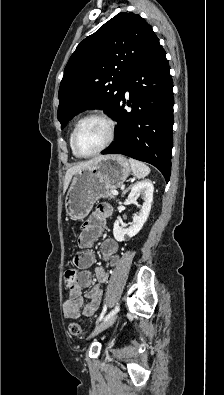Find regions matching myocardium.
I'll return each instance as SVG.
<instances>
[{
	"mask_svg": "<svg viewBox=\"0 0 224 395\" xmlns=\"http://www.w3.org/2000/svg\"><path fill=\"white\" fill-rule=\"evenodd\" d=\"M89 119H99V120L103 121L108 127V137H107L106 141L103 143V145L100 146L96 151L89 153V154H82L78 150V147H77V135H78L81 125ZM115 133H116V123L108 114H106L102 111L90 112V113L84 115L82 118H80L75 125V128L73 130V135H72L73 152L79 158H90V157L96 156L99 153H101L102 151H104L113 142V140L115 138Z\"/></svg>",
	"mask_w": 224,
	"mask_h": 395,
	"instance_id": "f54148a6",
	"label": "myocardium"
}]
</instances>
